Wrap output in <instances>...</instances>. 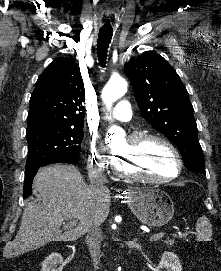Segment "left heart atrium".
<instances>
[{
    "mask_svg": "<svg viewBox=\"0 0 221 271\" xmlns=\"http://www.w3.org/2000/svg\"><path fill=\"white\" fill-rule=\"evenodd\" d=\"M118 157H133V152H118Z\"/></svg>",
    "mask_w": 221,
    "mask_h": 271,
    "instance_id": "obj_1",
    "label": "left heart atrium"
}]
</instances>
